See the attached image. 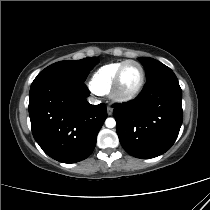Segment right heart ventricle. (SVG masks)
<instances>
[{
  "label": "right heart ventricle",
  "mask_w": 210,
  "mask_h": 210,
  "mask_svg": "<svg viewBox=\"0 0 210 210\" xmlns=\"http://www.w3.org/2000/svg\"><path fill=\"white\" fill-rule=\"evenodd\" d=\"M123 62L108 63L94 72L90 80L91 89L97 94H107L111 89L114 76Z\"/></svg>",
  "instance_id": "right-heart-ventricle-1"
}]
</instances>
